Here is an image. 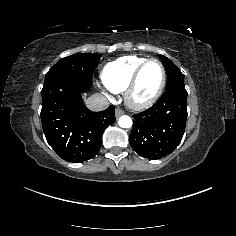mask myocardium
Here are the masks:
<instances>
[{"instance_id":"1","label":"myocardium","mask_w":236,"mask_h":236,"mask_svg":"<svg viewBox=\"0 0 236 236\" xmlns=\"http://www.w3.org/2000/svg\"><path fill=\"white\" fill-rule=\"evenodd\" d=\"M151 62H156L162 69V78L160 85L153 96L147 100L139 101L134 98V90L142 70ZM167 81V71L164 63L157 58H148L143 61L134 71L127 87L124 90V98L127 105L136 110H143L153 106L161 97Z\"/></svg>"}]
</instances>
